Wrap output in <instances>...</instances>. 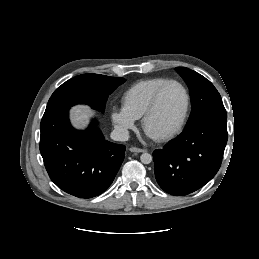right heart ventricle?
Instances as JSON below:
<instances>
[{"label":"right heart ventricle","instance_id":"obj_1","mask_svg":"<svg viewBox=\"0 0 259 259\" xmlns=\"http://www.w3.org/2000/svg\"><path fill=\"white\" fill-rule=\"evenodd\" d=\"M168 78H147L128 87L121 97L122 107L135 119L143 117L156 89Z\"/></svg>","mask_w":259,"mask_h":259}]
</instances>
